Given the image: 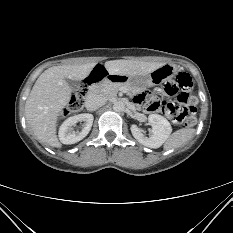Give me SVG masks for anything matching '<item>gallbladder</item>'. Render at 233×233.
<instances>
[{
	"label": "gallbladder",
	"instance_id": "obj_1",
	"mask_svg": "<svg viewBox=\"0 0 233 233\" xmlns=\"http://www.w3.org/2000/svg\"><path fill=\"white\" fill-rule=\"evenodd\" d=\"M67 83L70 86L72 91H77L80 87V82L76 80L67 79Z\"/></svg>",
	"mask_w": 233,
	"mask_h": 233
}]
</instances>
